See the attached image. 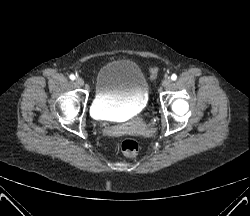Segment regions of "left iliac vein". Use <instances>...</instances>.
Returning <instances> with one entry per match:
<instances>
[{
  "label": "left iliac vein",
  "instance_id": "4c4485c4",
  "mask_svg": "<svg viewBox=\"0 0 250 216\" xmlns=\"http://www.w3.org/2000/svg\"><path fill=\"white\" fill-rule=\"evenodd\" d=\"M172 84V80L170 78H165L162 82L164 87H169Z\"/></svg>",
  "mask_w": 250,
  "mask_h": 216
}]
</instances>
